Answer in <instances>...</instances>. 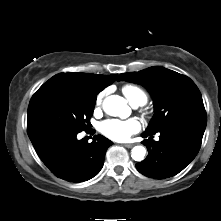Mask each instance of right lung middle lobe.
<instances>
[{
    "instance_id": "1",
    "label": "right lung middle lobe",
    "mask_w": 221,
    "mask_h": 221,
    "mask_svg": "<svg viewBox=\"0 0 221 221\" xmlns=\"http://www.w3.org/2000/svg\"><path fill=\"white\" fill-rule=\"evenodd\" d=\"M96 95L62 82H46L32 96L27 112V132L59 129L87 131Z\"/></svg>"
}]
</instances>
